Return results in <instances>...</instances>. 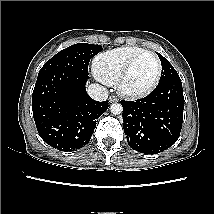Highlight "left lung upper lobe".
Segmentation results:
<instances>
[{
	"label": "left lung upper lobe",
	"instance_id": "left-lung-upper-lobe-1",
	"mask_svg": "<svg viewBox=\"0 0 214 214\" xmlns=\"http://www.w3.org/2000/svg\"><path fill=\"white\" fill-rule=\"evenodd\" d=\"M157 54L162 64V74L159 82L180 78L174 67L161 54Z\"/></svg>",
	"mask_w": 214,
	"mask_h": 214
}]
</instances>
